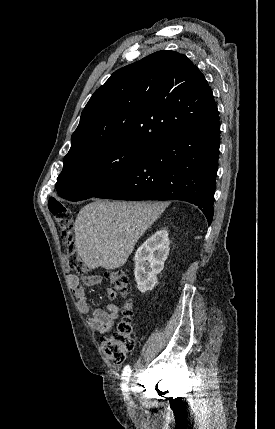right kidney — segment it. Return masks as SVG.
I'll return each instance as SVG.
<instances>
[{
	"label": "right kidney",
	"instance_id": "right-kidney-1",
	"mask_svg": "<svg viewBox=\"0 0 275 429\" xmlns=\"http://www.w3.org/2000/svg\"><path fill=\"white\" fill-rule=\"evenodd\" d=\"M169 246L168 231L161 229L137 249L134 256V275L141 293L152 290L156 285L157 275L163 270L168 257Z\"/></svg>",
	"mask_w": 275,
	"mask_h": 429
}]
</instances>
